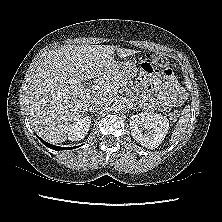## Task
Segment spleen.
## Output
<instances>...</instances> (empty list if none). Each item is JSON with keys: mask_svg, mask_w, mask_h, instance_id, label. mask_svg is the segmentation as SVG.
<instances>
[{"mask_svg": "<svg viewBox=\"0 0 222 222\" xmlns=\"http://www.w3.org/2000/svg\"><path fill=\"white\" fill-rule=\"evenodd\" d=\"M189 119H190V108L187 106L183 110L182 115L176 125V128L172 133L170 143H174L181 137L186 127L188 126Z\"/></svg>", "mask_w": 222, "mask_h": 222, "instance_id": "obj_1", "label": "spleen"}]
</instances>
